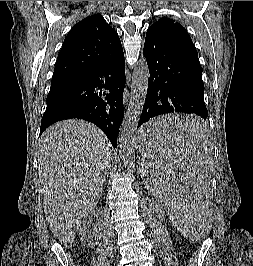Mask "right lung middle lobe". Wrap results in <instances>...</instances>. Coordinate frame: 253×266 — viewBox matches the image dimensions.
<instances>
[{
	"instance_id": "right-lung-middle-lobe-1",
	"label": "right lung middle lobe",
	"mask_w": 253,
	"mask_h": 266,
	"mask_svg": "<svg viewBox=\"0 0 253 266\" xmlns=\"http://www.w3.org/2000/svg\"><path fill=\"white\" fill-rule=\"evenodd\" d=\"M63 86V84L60 85H53L50 88L49 94L47 96V104L50 102V97L57 91L59 90L61 87Z\"/></svg>"
}]
</instances>
